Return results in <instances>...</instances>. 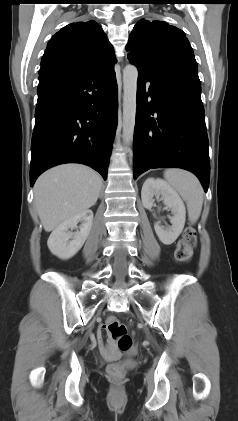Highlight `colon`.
<instances>
[{
    "instance_id": "obj_1",
    "label": "colon",
    "mask_w": 238,
    "mask_h": 421,
    "mask_svg": "<svg viewBox=\"0 0 238 421\" xmlns=\"http://www.w3.org/2000/svg\"><path fill=\"white\" fill-rule=\"evenodd\" d=\"M196 244V232L193 228H186L175 249V258L180 262H187L191 259L193 249ZM104 328L108 331L111 338L116 343L118 349L122 352H128L132 348V339L128 333L127 327L114 317H110ZM108 374L113 379H121L124 376V369L120 364L112 363L108 366Z\"/></svg>"
}]
</instances>
